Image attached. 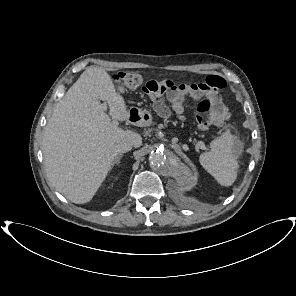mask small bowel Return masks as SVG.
I'll use <instances>...</instances> for the list:
<instances>
[{"mask_svg":"<svg viewBox=\"0 0 296 296\" xmlns=\"http://www.w3.org/2000/svg\"><path fill=\"white\" fill-rule=\"evenodd\" d=\"M223 87H225V81L222 78L210 76L203 82L190 84L185 88L175 85L170 80H150L143 90L154 101L155 109L159 115L166 117L175 114L183 120V102L186 96H190L194 100H200L205 96L219 100L218 91Z\"/></svg>","mask_w":296,"mask_h":296,"instance_id":"c3829d8e","label":"small bowel"}]
</instances>
